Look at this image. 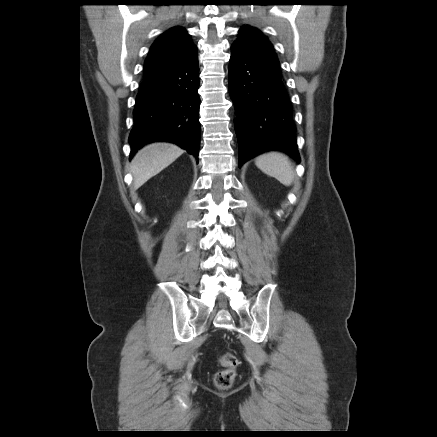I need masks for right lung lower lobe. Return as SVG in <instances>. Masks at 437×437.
I'll return each mask as SVG.
<instances>
[{
    "instance_id": "right-lung-lower-lobe-1",
    "label": "right lung lower lobe",
    "mask_w": 437,
    "mask_h": 437,
    "mask_svg": "<svg viewBox=\"0 0 437 437\" xmlns=\"http://www.w3.org/2000/svg\"><path fill=\"white\" fill-rule=\"evenodd\" d=\"M198 88L197 54L182 64L144 78L133 111L134 127L129 136L131 158L147 143L168 141L197 159L201 132Z\"/></svg>"
}]
</instances>
